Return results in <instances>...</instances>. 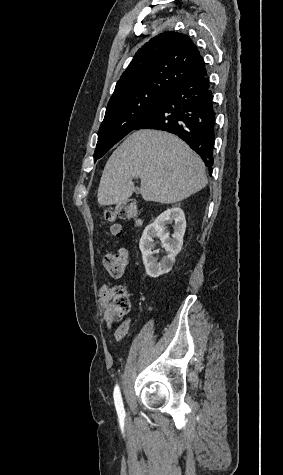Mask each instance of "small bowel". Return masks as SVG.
<instances>
[{"label":"small bowel","mask_w":283,"mask_h":475,"mask_svg":"<svg viewBox=\"0 0 283 475\" xmlns=\"http://www.w3.org/2000/svg\"><path fill=\"white\" fill-rule=\"evenodd\" d=\"M111 296H112V289H111L110 286L106 285V286H103L100 289L101 303H102V306L105 310L104 321L107 324L108 328H111V324L109 322V316H108L109 301H110ZM125 332H126V325H122V326L118 327L114 331L115 340L118 341V342L121 341L124 337Z\"/></svg>","instance_id":"obj_1"}]
</instances>
